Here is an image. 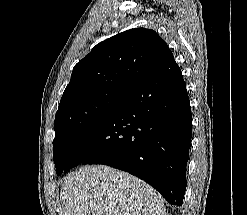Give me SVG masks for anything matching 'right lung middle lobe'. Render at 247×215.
Wrapping results in <instances>:
<instances>
[{
  "instance_id": "right-lung-middle-lobe-1",
  "label": "right lung middle lobe",
  "mask_w": 247,
  "mask_h": 215,
  "mask_svg": "<svg viewBox=\"0 0 247 215\" xmlns=\"http://www.w3.org/2000/svg\"><path fill=\"white\" fill-rule=\"evenodd\" d=\"M131 94L126 90L96 89L73 91L61 98L53 140V159L58 175L69 170L68 157L77 141L117 113Z\"/></svg>"
}]
</instances>
